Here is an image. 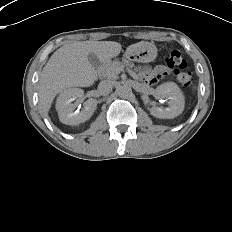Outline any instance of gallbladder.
Segmentation results:
<instances>
[{"label":"gallbladder","mask_w":232,"mask_h":232,"mask_svg":"<svg viewBox=\"0 0 232 232\" xmlns=\"http://www.w3.org/2000/svg\"><path fill=\"white\" fill-rule=\"evenodd\" d=\"M88 60L95 69H98L101 65L99 57L92 52L88 54Z\"/></svg>","instance_id":"bac80fb5"}]
</instances>
